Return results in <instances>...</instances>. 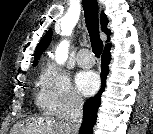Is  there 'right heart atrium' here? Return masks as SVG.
I'll list each match as a JSON object with an SVG mask.
<instances>
[{
	"instance_id": "obj_1",
	"label": "right heart atrium",
	"mask_w": 153,
	"mask_h": 134,
	"mask_svg": "<svg viewBox=\"0 0 153 134\" xmlns=\"http://www.w3.org/2000/svg\"><path fill=\"white\" fill-rule=\"evenodd\" d=\"M37 105L45 113L65 117L78 112L83 99L67 74L55 65H47L38 82Z\"/></svg>"
}]
</instances>
